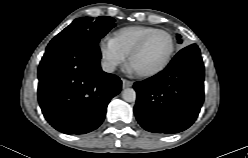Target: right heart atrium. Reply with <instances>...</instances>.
Here are the masks:
<instances>
[{
	"label": "right heart atrium",
	"mask_w": 248,
	"mask_h": 158,
	"mask_svg": "<svg viewBox=\"0 0 248 158\" xmlns=\"http://www.w3.org/2000/svg\"><path fill=\"white\" fill-rule=\"evenodd\" d=\"M99 52L102 64L108 71H113L126 60V56L121 52L113 40L109 38L100 41Z\"/></svg>",
	"instance_id": "right-heart-atrium-1"
}]
</instances>
